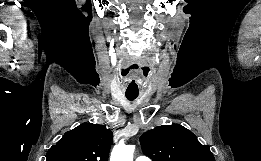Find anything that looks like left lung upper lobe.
<instances>
[{
    "mask_svg": "<svg viewBox=\"0 0 261 161\" xmlns=\"http://www.w3.org/2000/svg\"><path fill=\"white\" fill-rule=\"evenodd\" d=\"M143 152L153 161H215L208 145L179 124L162 125L140 137Z\"/></svg>",
    "mask_w": 261,
    "mask_h": 161,
    "instance_id": "1",
    "label": "left lung upper lobe"
}]
</instances>
